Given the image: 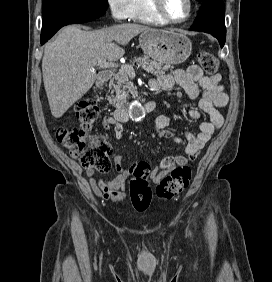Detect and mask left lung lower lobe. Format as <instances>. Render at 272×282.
Wrapping results in <instances>:
<instances>
[{
    "mask_svg": "<svg viewBox=\"0 0 272 282\" xmlns=\"http://www.w3.org/2000/svg\"><path fill=\"white\" fill-rule=\"evenodd\" d=\"M224 14L225 10L222 0L202 2L197 18L190 30L210 33L218 39L222 48L226 38Z\"/></svg>",
    "mask_w": 272,
    "mask_h": 282,
    "instance_id": "left-lung-lower-lobe-1",
    "label": "left lung lower lobe"
}]
</instances>
